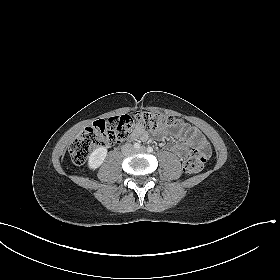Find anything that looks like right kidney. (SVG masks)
Returning <instances> with one entry per match:
<instances>
[{
	"mask_svg": "<svg viewBox=\"0 0 280 280\" xmlns=\"http://www.w3.org/2000/svg\"><path fill=\"white\" fill-rule=\"evenodd\" d=\"M107 156V149L106 147H99L95 149L89 156L88 159V167L91 170H96L99 168L102 163L104 162L105 158Z\"/></svg>",
	"mask_w": 280,
	"mask_h": 280,
	"instance_id": "1",
	"label": "right kidney"
}]
</instances>
